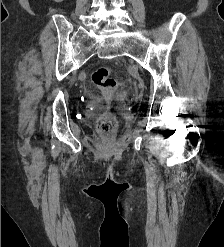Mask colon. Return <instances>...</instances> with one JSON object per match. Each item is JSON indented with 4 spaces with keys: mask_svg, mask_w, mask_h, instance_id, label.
<instances>
[{
    "mask_svg": "<svg viewBox=\"0 0 224 247\" xmlns=\"http://www.w3.org/2000/svg\"><path fill=\"white\" fill-rule=\"evenodd\" d=\"M92 82L97 86L102 93L108 98H116L119 95L118 83L111 76L110 69L106 66L96 69L91 76ZM115 118L109 114L101 118L98 122L100 132L107 134L114 130Z\"/></svg>",
    "mask_w": 224,
    "mask_h": 247,
    "instance_id": "1",
    "label": "colon"
}]
</instances>
